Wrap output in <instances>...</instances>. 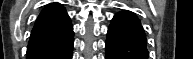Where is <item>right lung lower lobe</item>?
<instances>
[{"label":"right lung lower lobe","instance_id":"obj_1","mask_svg":"<svg viewBox=\"0 0 193 59\" xmlns=\"http://www.w3.org/2000/svg\"><path fill=\"white\" fill-rule=\"evenodd\" d=\"M73 31L51 43L28 46L27 59H72Z\"/></svg>","mask_w":193,"mask_h":59}]
</instances>
